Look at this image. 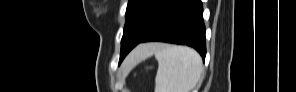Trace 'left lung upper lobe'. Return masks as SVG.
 I'll list each match as a JSON object with an SVG mask.
<instances>
[{
	"mask_svg": "<svg viewBox=\"0 0 296 92\" xmlns=\"http://www.w3.org/2000/svg\"><path fill=\"white\" fill-rule=\"evenodd\" d=\"M170 0H129L121 40L120 60L151 31Z\"/></svg>",
	"mask_w": 296,
	"mask_h": 92,
	"instance_id": "obj_1",
	"label": "left lung upper lobe"
}]
</instances>
